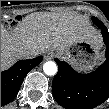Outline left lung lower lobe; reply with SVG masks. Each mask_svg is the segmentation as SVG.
<instances>
[{
	"label": "left lung lower lobe",
	"instance_id": "obj_1",
	"mask_svg": "<svg viewBox=\"0 0 109 109\" xmlns=\"http://www.w3.org/2000/svg\"><path fill=\"white\" fill-rule=\"evenodd\" d=\"M106 45V60L94 72L80 74L69 64L55 58L58 73L52 82L56 102L66 109H92L109 98V32L97 24Z\"/></svg>",
	"mask_w": 109,
	"mask_h": 109
}]
</instances>
